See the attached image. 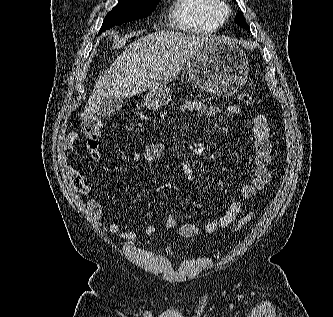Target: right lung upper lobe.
<instances>
[{"label":"right lung upper lobe","instance_id":"1","mask_svg":"<svg viewBox=\"0 0 333 317\" xmlns=\"http://www.w3.org/2000/svg\"><path fill=\"white\" fill-rule=\"evenodd\" d=\"M147 1H160V0H147Z\"/></svg>","mask_w":333,"mask_h":317}]
</instances>
